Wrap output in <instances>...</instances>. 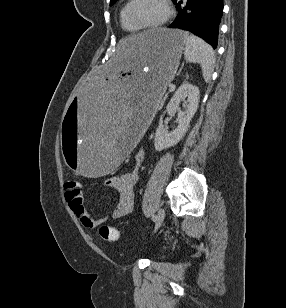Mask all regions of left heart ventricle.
<instances>
[{
  "instance_id": "b2bd125f",
  "label": "left heart ventricle",
  "mask_w": 286,
  "mask_h": 308,
  "mask_svg": "<svg viewBox=\"0 0 286 308\" xmlns=\"http://www.w3.org/2000/svg\"><path fill=\"white\" fill-rule=\"evenodd\" d=\"M165 15L162 0H137L135 4V18L142 24H153Z\"/></svg>"
}]
</instances>
